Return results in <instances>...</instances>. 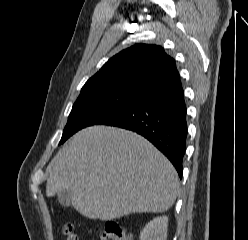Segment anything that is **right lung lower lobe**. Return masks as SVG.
Segmentation results:
<instances>
[{
	"mask_svg": "<svg viewBox=\"0 0 248 240\" xmlns=\"http://www.w3.org/2000/svg\"><path fill=\"white\" fill-rule=\"evenodd\" d=\"M186 115L180 85L138 99L96 124L125 128L144 136L171 161L181 178L187 138Z\"/></svg>",
	"mask_w": 248,
	"mask_h": 240,
	"instance_id": "1",
	"label": "right lung lower lobe"
}]
</instances>
